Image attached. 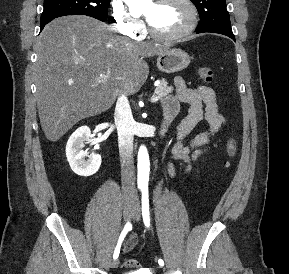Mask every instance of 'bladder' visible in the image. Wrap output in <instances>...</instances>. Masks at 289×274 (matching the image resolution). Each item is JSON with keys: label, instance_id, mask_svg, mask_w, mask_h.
Segmentation results:
<instances>
[{"label": "bladder", "instance_id": "bladder-1", "mask_svg": "<svg viewBox=\"0 0 289 274\" xmlns=\"http://www.w3.org/2000/svg\"><path fill=\"white\" fill-rule=\"evenodd\" d=\"M122 274H147V273L142 272V271H132V272H124Z\"/></svg>", "mask_w": 289, "mask_h": 274}]
</instances>
